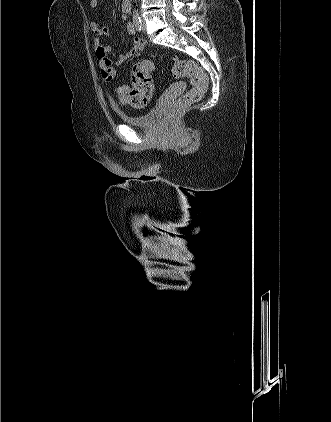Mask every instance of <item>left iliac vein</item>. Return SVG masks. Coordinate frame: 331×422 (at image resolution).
I'll return each instance as SVG.
<instances>
[{"label":"left iliac vein","mask_w":331,"mask_h":422,"mask_svg":"<svg viewBox=\"0 0 331 422\" xmlns=\"http://www.w3.org/2000/svg\"><path fill=\"white\" fill-rule=\"evenodd\" d=\"M142 29H143V31H145V30H146V25H145V21H144V19H142Z\"/></svg>","instance_id":"left-iliac-vein-1"}]
</instances>
